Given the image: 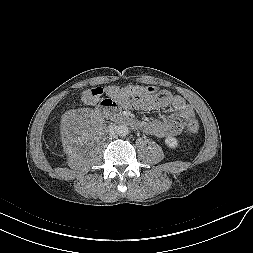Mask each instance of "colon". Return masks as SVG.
<instances>
[{
  "label": "colon",
  "mask_w": 253,
  "mask_h": 253,
  "mask_svg": "<svg viewBox=\"0 0 253 253\" xmlns=\"http://www.w3.org/2000/svg\"><path fill=\"white\" fill-rule=\"evenodd\" d=\"M157 92H158L157 88L150 86L130 85L125 88L108 86L106 88L102 87L90 88L83 92L82 97L85 101L90 103L99 101V99L102 97L103 94H105L106 97H110L121 101H127L141 97L146 94H154ZM187 128L193 134L198 132L199 123L196 117L193 116L187 120Z\"/></svg>",
  "instance_id": "obj_1"
}]
</instances>
